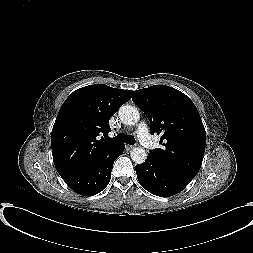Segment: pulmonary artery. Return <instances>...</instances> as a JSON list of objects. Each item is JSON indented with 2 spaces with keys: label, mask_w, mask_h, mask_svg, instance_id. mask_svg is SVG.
I'll return each instance as SVG.
<instances>
[{
  "label": "pulmonary artery",
  "mask_w": 253,
  "mask_h": 253,
  "mask_svg": "<svg viewBox=\"0 0 253 253\" xmlns=\"http://www.w3.org/2000/svg\"><path fill=\"white\" fill-rule=\"evenodd\" d=\"M137 136L139 138V140L141 141V143L151 149L153 147V141H152V137L151 134L147 128V126L144 123H141L138 125L137 128Z\"/></svg>",
  "instance_id": "obj_1"
}]
</instances>
